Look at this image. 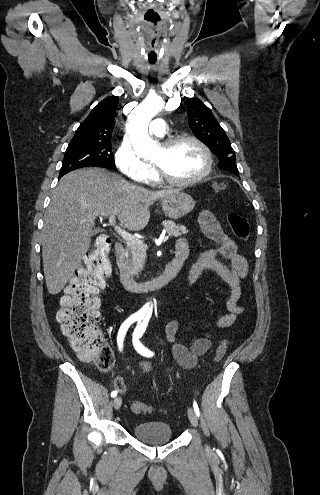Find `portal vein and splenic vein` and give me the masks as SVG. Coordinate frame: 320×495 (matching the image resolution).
Segmentation results:
<instances>
[{
    "label": "portal vein and splenic vein",
    "instance_id": "18ae733b",
    "mask_svg": "<svg viewBox=\"0 0 320 495\" xmlns=\"http://www.w3.org/2000/svg\"><path fill=\"white\" fill-rule=\"evenodd\" d=\"M116 216L111 215L108 219L109 223L114 227L115 231L127 242L128 245H142L143 242L136 238L135 236L131 235L115 223ZM169 238V236H165L162 238V241H165Z\"/></svg>",
    "mask_w": 320,
    "mask_h": 495
}]
</instances>
